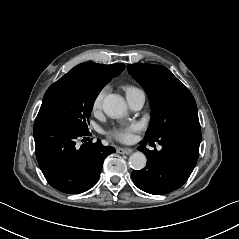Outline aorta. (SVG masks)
<instances>
[{
    "label": "aorta",
    "instance_id": "obj_1",
    "mask_svg": "<svg viewBox=\"0 0 239 239\" xmlns=\"http://www.w3.org/2000/svg\"><path fill=\"white\" fill-rule=\"evenodd\" d=\"M104 113L113 119L121 118L126 114L127 104L124 98L119 94H108L102 102ZM130 165L135 170L145 168L147 159L141 152L133 153L129 158Z\"/></svg>",
    "mask_w": 239,
    "mask_h": 239
}]
</instances>
